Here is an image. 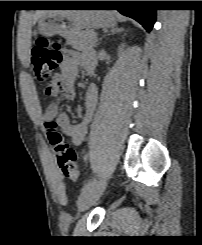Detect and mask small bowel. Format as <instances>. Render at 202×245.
<instances>
[{
    "label": "small bowel",
    "mask_w": 202,
    "mask_h": 245,
    "mask_svg": "<svg viewBox=\"0 0 202 245\" xmlns=\"http://www.w3.org/2000/svg\"><path fill=\"white\" fill-rule=\"evenodd\" d=\"M95 66L96 62L93 56L84 57L76 51L66 50L61 65V73L57 77V81L52 83L55 86L54 95H62L66 100H73L75 98V82L81 67L87 72H93ZM97 100L98 89L96 85H91L85 93L84 114L78 123L72 122L68 113H59L56 104L49 106L41 114L40 118L44 123L49 120H55L71 139L72 143L80 145L86 138L88 125L92 120Z\"/></svg>",
    "instance_id": "obj_1"
}]
</instances>
